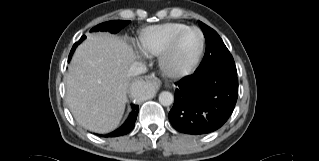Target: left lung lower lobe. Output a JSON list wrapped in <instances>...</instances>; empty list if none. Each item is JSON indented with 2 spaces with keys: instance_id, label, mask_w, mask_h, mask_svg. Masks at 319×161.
<instances>
[{
  "instance_id": "1",
  "label": "left lung lower lobe",
  "mask_w": 319,
  "mask_h": 161,
  "mask_svg": "<svg viewBox=\"0 0 319 161\" xmlns=\"http://www.w3.org/2000/svg\"><path fill=\"white\" fill-rule=\"evenodd\" d=\"M175 84L174 105L168 118L182 133L213 132L233 112L238 97L237 74L207 71L185 76Z\"/></svg>"
}]
</instances>
